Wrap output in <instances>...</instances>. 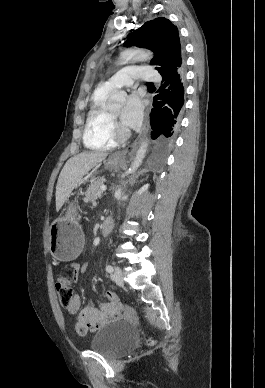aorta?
<instances>
[{"instance_id": "aorta-1", "label": "aorta", "mask_w": 265, "mask_h": 388, "mask_svg": "<svg viewBox=\"0 0 265 388\" xmlns=\"http://www.w3.org/2000/svg\"><path fill=\"white\" fill-rule=\"evenodd\" d=\"M151 57H152L151 54L145 50H141V49L128 50L120 54L118 64H124L128 60L146 61L151 59ZM125 99H126V93L124 91L114 92L110 96L111 105H120L125 101ZM148 143H149L148 139H146L141 143L139 149L137 150L135 158L129 168L130 173L135 172L138 169V167L141 165L148 148Z\"/></svg>"}]
</instances>
